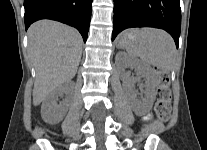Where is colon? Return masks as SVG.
Wrapping results in <instances>:
<instances>
[{
	"label": "colon",
	"mask_w": 207,
	"mask_h": 150,
	"mask_svg": "<svg viewBox=\"0 0 207 150\" xmlns=\"http://www.w3.org/2000/svg\"><path fill=\"white\" fill-rule=\"evenodd\" d=\"M171 98L169 75L158 69L155 111L162 121H168L169 119Z\"/></svg>",
	"instance_id": "colon-1"
}]
</instances>
